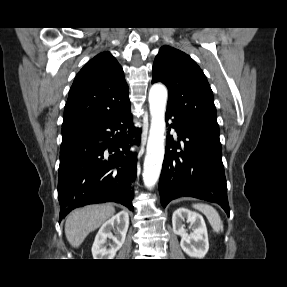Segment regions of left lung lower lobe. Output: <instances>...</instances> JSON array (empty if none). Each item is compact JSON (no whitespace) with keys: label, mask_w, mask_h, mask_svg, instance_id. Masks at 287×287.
<instances>
[{"label":"left lung lower lobe","mask_w":287,"mask_h":287,"mask_svg":"<svg viewBox=\"0 0 287 287\" xmlns=\"http://www.w3.org/2000/svg\"><path fill=\"white\" fill-rule=\"evenodd\" d=\"M172 116L171 126L179 138L177 143L170 135L166 140L159 181L162 206L166 207L179 197H195L218 203L229 216L221 143L197 131L174 113L166 112L167 121Z\"/></svg>","instance_id":"0a47b994"}]
</instances>
